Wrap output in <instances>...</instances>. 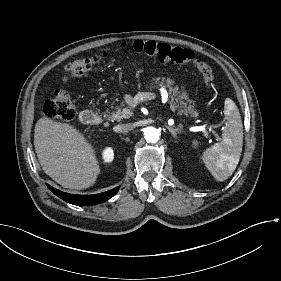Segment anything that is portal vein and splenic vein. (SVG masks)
I'll use <instances>...</instances> for the list:
<instances>
[{"label": "portal vein and splenic vein", "instance_id": "obj_1", "mask_svg": "<svg viewBox=\"0 0 281 281\" xmlns=\"http://www.w3.org/2000/svg\"><path fill=\"white\" fill-rule=\"evenodd\" d=\"M158 98H159V96L155 93L151 94V93L140 90L137 92L136 96L131 100L130 105L134 106V107L137 106L139 103L138 102L139 99H141L143 101L155 102L158 100ZM198 124H200V126H202V128L211 130V132H213V134H216V131H214V129L224 126V121H221V124H218L215 126L210 125V127L203 125V123H201V121H198ZM214 138L216 139L217 143H220V139L218 138V135H214Z\"/></svg>", "mask_w": 281, "mask_h": 281}]
</instances>
